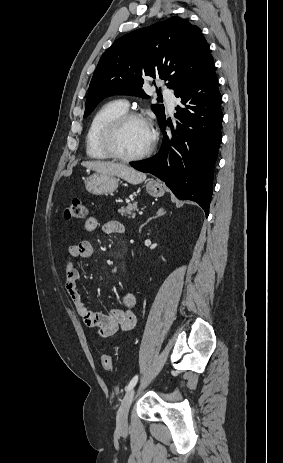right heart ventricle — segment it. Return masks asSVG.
Listing matches in <instances>:
<instances>
[{
  "label": "right heart ventricle",
  "instance_id": "e07e8e85",
  "mask_svg": "<svg viewBox=\"0 0 283 463\" xmlns=\"http://www.w3.org/2000/svg\"><path fill=\"white\" fill-rule=\"evenodd\" d=\"M126 111L127 106L120 100L107 102L97 110L91 119L85 140L86 153L90 158L96 160L109 158L101 146L102 131L112 119Z\"/></svg>",
  "mask_w": 283,
  "mask_h": 463
}]
</instances>
